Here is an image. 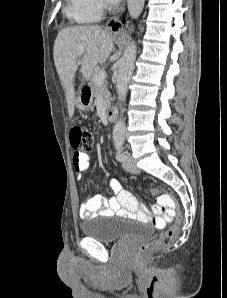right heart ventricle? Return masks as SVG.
I'll use <instances>...</instances> for the list:
<instances>
[{
  "mask_svg": "<svg viewBox=\"0 0 227 298\" xmlns=\"http://www.w3.org/2000/svg\"><path fill=\"white\" fill-rule=\"evenodd\" d=\"M63 11L74 23L87 24L98 19V12L94 11L87 0H67Z\"/></svg>",
  "mask_w": 227,
  "mask_h": 298,
  "instance_id": "e07e8e85",
  "label": "right heart ventricle"
}]
</instances>
